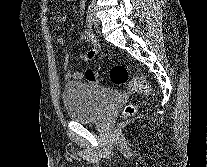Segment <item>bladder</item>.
<instances>
[{"label": "bladder", "instance_id": "bladder-1", "mask_svg": "<svg viewBox=\"0 0 207 167\" xmlns=\"http://www.w3.org/2000/svg\"><path fill=\"white\" fill-rule=\"evenodd\" d=\"M119 97L116 90L102 88L81 81H69L62 91L67 115L77 122H93L103 116Z\"/></svg>", "mask_w": 207, "mask_h": 167}]
</instances>
